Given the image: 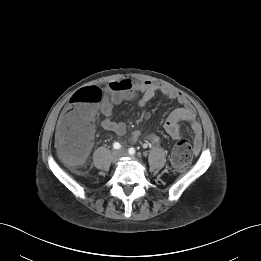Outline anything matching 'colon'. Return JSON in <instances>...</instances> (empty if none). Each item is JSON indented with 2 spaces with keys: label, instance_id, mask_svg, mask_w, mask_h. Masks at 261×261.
I'll return each mask as SVG.
<instances>
[{
  "label": "colon",
  "instance_id": "1",
  "mask_svg": "<svg viewBox=\"0 0 261 261\" xmlns=\"http://www.w3.org/2000/svg\"><path fill=\"white\" fill-rule=\"evenodd\" d=\"M131 82L121 81L109 84V89L117 91L130 87ZM105 87H85L71 97L70 109L61 118L58 132L61 136L59 152L71 166H80L84 162L89 148V121L96 106L102 101ZM193 158V147L188 139L179 138L172 151L171 161L175 168H183Z\"/></svg>",
  "mask_w": 261,
  "mask_h": 261
}]
</instances>
